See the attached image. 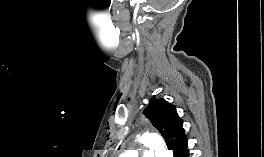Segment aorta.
Wrapping results in <instances>:
<instances>
[{"instance_id": "762f6f07", "label": "aorta", "mask_w": 264, "mask_h": 157, "mask_svg": "<svg viewBox=\"0 0 264 157\" xmlns=\"http://www.w3.org/2000/svg\"><path fill=\"white\" fill-rule=\"evenodd\" d=\"M140 143L152 147L156 151V157H171V152L167 150L163 140L154 133H148L141 136ZM135 151H129L123 157H137Z\"/></svg>"}]
</instances>
